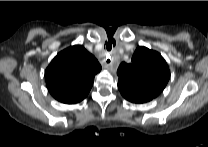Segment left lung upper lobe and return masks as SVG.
Here are the masks:
<instances>
[{
  "instance_id": "obj_1",
  "label": "left lung upper lobe",
  "mask_w": 208,
  "mask_h": 147,
  "mask_svg": "<svg viewBox=\"0 0 208 147\" xmlns=\"http://www.w3.org/2000/svg\"><path fill=\"white\" fill-rule=\"evenodd\" d=\"M118 88L157 97L165 88L169 78V67L156 51L139 46L130 63L122 62L117 70Z\"/></svg>"
}]
</instances>
